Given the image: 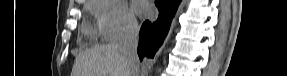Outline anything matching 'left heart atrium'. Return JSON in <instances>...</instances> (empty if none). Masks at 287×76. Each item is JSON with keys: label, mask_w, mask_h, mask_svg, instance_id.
<instances>
[{"label": "left heart atrium", "mask_w": 287, "mask_h": 76, "mask_svg": "<svg viewBox=\"0 0 287 76\" xmlns=\"http://www.w3.org/2000/svg\"><path fill=\"white\" fill-rule=\"evenodd\" d=\"M134 9L141 17H149L153 13V7L148 1L145 0L135 1Z\"/></svg>", "instance_id": "39dd6f15"}]
</instances>
